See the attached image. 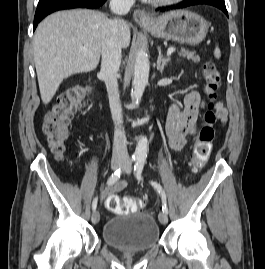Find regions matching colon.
Wrapping results in <instances>:
<instances>
[{
  "instance_id": "colon-1",
  "label": "colon",
  "mask_w": 265,
  "mask_h": 269,
  "mask_svg": "<svg viewBox=\"0 0 265 269\" xmlns=\"http://www.w3.org/2000/svg\"><path fill=\"white\" fill-rule=\"evenodd\" d=\"M203 74L208 85L210 102L204 113L203 123L191 156V165L194 172L205 165L212 150L217 121L215 100L221 85L220 72L214 62L206 61L203 64ZM86 93V88L78 87L60 95L45 114L43 134L58 159L63 156L66 150L70 121L74 113L83 106ZM107 207L112 212L127 214L138 211L142 207V202L134 197L111 195L107 200Z\"/></svg>"
}]
</instances>
